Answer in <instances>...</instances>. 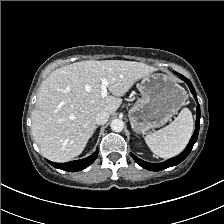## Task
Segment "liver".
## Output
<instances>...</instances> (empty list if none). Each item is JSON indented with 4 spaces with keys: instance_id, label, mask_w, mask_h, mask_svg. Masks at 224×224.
Masks as SVG:
<instances>
[{
    "instance_id": "liver-1",
    "label": "liver",
    "mask_w": 224,
    "mask_h": 224,
    "mask_svg": "<svg viewBox=\"0 0 224 224\" xmlns=\"http://www.w3.org/2000/svg\"><path fill=\"white\" fill-rule=\"evenodd\" d=\"M156 68L123 60L81 61L54 70L42 83L32 113V135L41 154L54 162L80 155L96 130L101 111L113 114L135 82ZM109 82L111 95L101 96Z\"/></svg>"
}]
</instances>
